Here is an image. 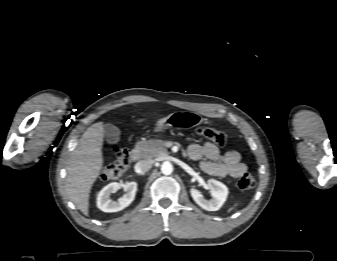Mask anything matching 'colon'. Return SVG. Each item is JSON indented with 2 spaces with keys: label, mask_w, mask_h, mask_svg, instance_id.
<instances>
[{
  "label": "colon",
  "mask_w": 337,
  "mask_h": 261,
  "mask_svg": "<svg viewBox=\"0 0 337 261\" xmlns=\"http://www.w3.org/2000/svg\"><path fill=\"white\" fill-rule=\"evenodd\" d=\"M196 133L198 136L207 139L218 146H224L226 144V135L214 128L200 127L197 129ZM113 151L116 154V160L102 168L100 178L103 180L117 179L121 177L130 166L131 157L126 148L114 147ZM254 186L255 179L249 173L243 174L237 181V187L240 190H250Z\"/></svg>",
  "instance_id": "colon-1"
}]
</instances>
